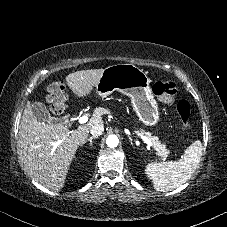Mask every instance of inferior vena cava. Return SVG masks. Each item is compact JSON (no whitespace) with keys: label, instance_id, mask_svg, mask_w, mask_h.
I'll list each match as a JSON object with an SVG mask.
<instances>
[{"label":"inferior vena cava","instance_id":"1","mask_svg":"<svg viewBox=\"0 0 227 227\" xmlns=\"http://www.w3.org/2000/svg\"><path fill=\"white\" fill-rule=\"evenodd\" d=\"M103 132H104V126H103V124H95L90 129V133L93 136H97V137L100 136V135H102Z\"/></svg>","mask_w":227,"mask_h":227}]
</instances>
